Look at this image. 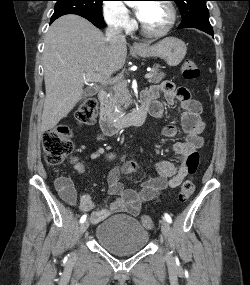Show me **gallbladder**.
Listing matches in <instances>:
<instances>
[{"label": "gallbladder", "mask_w": 250, "mask_h": 285, "mask_svg": "<svg viewBox=\"0 0 250 285\" xmlns=\"http://www.w3.org/2000/svg\"><path fill=\"white\" fill-rule=\"evenodd\" d=\"M95 93V91L91 88H87L85 89L84 91V95H83V98H86L88 96H92L93 94Z\"/></svg>", "instance_id": "obj_1"}]
</instances>
